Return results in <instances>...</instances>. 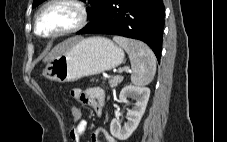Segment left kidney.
<instances>
[{"mask_svg": "<svg viewBox=\"0 0 227 142\" xmlns=\"http://www.w3.org/2000/svg\"><path fill=\"white\" fill-rule=\"evenodd\" d=\"M150 96V89L140 86H125L119 95V102H125L128 97L136 100L132 109L127 112V122L121 126L118 119L114 118L110 124L112 136L119 140L128 139L138 127L140 120L145 112Z\"/></svg>", "mask_w": 227, "mask_h": 142, "instance_id": "5707ae66", "label": "left kidney"}]
</instances>
